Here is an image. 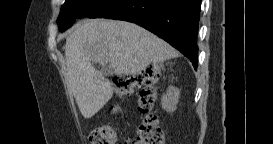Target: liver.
I'll return each mask as SVG.
<instances>
[{"label": "liver", "mask_w": 273, "mask_h": 144, "mask_svg": "<svg viewBox=\"0 0 273 144\" xmlns=\"http://www.w3.org/2000/svg\"><path fill=\"white\" fill-rule=\"evenodd\" d=\"M164 40L119 20L85 19L67 37V80L82 116L93 117L112 97L113 88L93 61L110 64L116 75H137L150 64L176 57Z\"/></svg>", "instance_id": "1"}]
</instances>
